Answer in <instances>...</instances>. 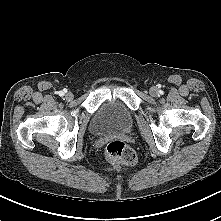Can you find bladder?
<instances>
[{
    "mask_svg": "<svg viewBox=\"0 0 221 221\" xmlns=\"http://www.w3.org/2000/svg\"><path fill=\"white\" fill-rule=\"evenodd\" d=\"M133 125V114L126 104L119 100H104L94 111L89 130L96 136L124 134Z\"/></svg>",
    "mask_w": 221,
    "mask_h": 221,
    "instance_id": "31cf9c89",
    "label": "bladder"
}]
</instances>
